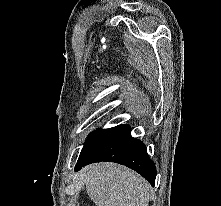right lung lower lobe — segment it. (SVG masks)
I'll return each instance as SVG.
<instances>
[{
  "mask_svg": "<svg viewBox=\"0 0 221 206\" xmlns=\"http://www.w3.org/2000/svg\"><path fill=\"white\" fill-rule=\"evenodd\" d=\"M101 161L123 164L155 185L156 167L147 154L146 146L131 136L129 125H119L105 131L79 157L75 170Z\"/></svg>",
  "mask_w": 221,
  "mask_h": 206,
  "instance_id": "obj_1",
  "label": "right lung lower lobe"
}]
</instances>
